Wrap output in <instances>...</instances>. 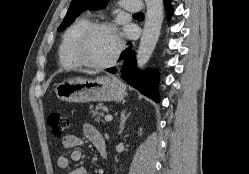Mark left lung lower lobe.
Returning a JSON list of instances; mask_svg holds the SVG:
<instances>
[{
	"mask_svg": "<svg viewBox=\"0 0 249 174\" xmlns=\"http://www.w3.org/2000/svg\"><path fill=\"white\" fill-rule=\"evenodd\" d=\"M167 13L172 11L170 0H164ZM122 59L125 60V64L121 69L122 77L134 88L138 89L141 93L147 97L159 102L157 83V72L147 71L140 72L136 67L135 52H131V47L125 50L122 54ZM108 72L114 73L116 69H107Z\"/></svg>",
	"mask_w": 249,
	"mask_h": 174,
	"instance_id": "left-lung-lower-lobe-1",
	"label": "left lung lower lobe"
}]
</instances>
